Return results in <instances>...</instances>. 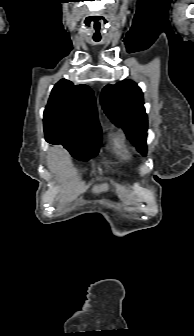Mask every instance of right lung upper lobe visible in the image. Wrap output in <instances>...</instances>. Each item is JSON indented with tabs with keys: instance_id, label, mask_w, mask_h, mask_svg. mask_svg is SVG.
<instances>
[{
	"instance_id": "1",
	"label": "right lung upper lobe",
	"mask_w": 194,
	"mask_h": 336,
	"mask_svg": "<svg viewBox=\"0 0 194 336\" xmlns=\"http://www.w3.org/2000/svg\"><path fill=\"white\" fill-rule=\"evenodd\" d=\"M44 131L49 143L65 137L100 139L92 90L83 84L60 80L52 89L44 111Z\"/></svg>"
}]
</instances>
